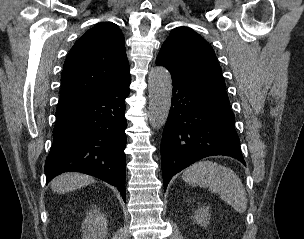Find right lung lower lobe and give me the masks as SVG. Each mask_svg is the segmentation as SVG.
<instances>
[{
  "label": "right lung lower lobe",
  "mask_w": 304,
  "mask_h": 239,
  "mask_svg": "<svg viewBox=\"0 0 304 239\" xmlns=\"http://www.w3.org/2000/svg\"><path fill=\"white\" fill-rule=\"evenodd\" d=\"M131 77L76 105L57 110L54 140L45 163L47 182L76 171L117 187L126 201L125 99Z\"/></svg>",
  "instance_id": "obj_1"
}]
</instances>
